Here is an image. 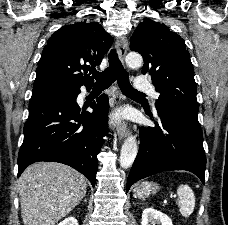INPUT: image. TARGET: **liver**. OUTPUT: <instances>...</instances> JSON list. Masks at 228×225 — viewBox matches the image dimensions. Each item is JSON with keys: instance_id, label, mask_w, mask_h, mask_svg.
Listing matches in <instances>:
<instances>
[{"instance_id": "liver-1", "label": "liver", "mask_w": 228, "mask_h": 225, "mask_svg": "<svg viewBox=\"0 0 228 225\" xmlns=\"http://www.w3.org/2000/svg\"><path fill=\"white\" fill-rule=\"evenodd\" d=\"M23 225H56L82 201L86 179L60 163H35L19 181Z\"/></svg>"}]
</instances>
